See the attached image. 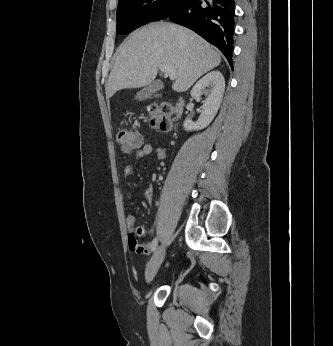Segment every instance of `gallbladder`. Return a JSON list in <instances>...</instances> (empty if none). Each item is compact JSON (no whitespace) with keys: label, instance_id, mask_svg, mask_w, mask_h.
<instances>
[{"label":"gallbladder","instance_id":"bac80fb5","mask_svg":"<svg viewBox=\"0 0 333 346\" xmlns=\"http://www.w3.org/2000/svg\"><path fill=\"white\" fill-rule=\"evenodd\" d=\"M163 88V83L160 80L153 81L147 87L143 88L136 94V99L144 100L149 98L152 94L160 91Z\"/></svg>","mask_w":333,"mask_h":346}]
</instances>
